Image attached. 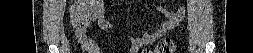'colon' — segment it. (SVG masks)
I'll return each instance as SVG.
<instances>
[{"mask_svg":"<svg viewBox=\"0 0 253 53\" xmlns=\"http://www.w3.org/2000/svg\"><path fill=\"white\" fill-rule=\"evenodd\" d=\"M91 1H75L72 7L71 18L75 28L88 26L92 20L93 9L90 6ZM176 44L168 38L161 40L154 50L146 49L144 53H174Z\"/></svg>","mask_w":253,"mask_h":53,"instance_id":"5ec220e1","label":"colon"}]
</instances>
